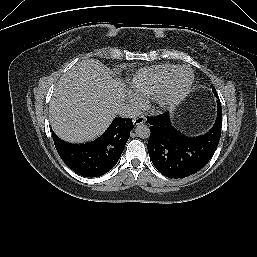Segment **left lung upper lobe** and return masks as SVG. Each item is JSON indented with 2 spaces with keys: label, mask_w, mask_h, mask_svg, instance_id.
Masks as SVG:
<instances>
[{
  "label": "left lung upper lobe",
  "mask_w": 257,
  "mask_h": 257,
  "mask_svg": "<svg viewBox=\"0 0 257 257\" xmlns=\"http://www.w3.org/2000/svg\"><path fill=\"white\" fill-rule=\"evenodd\" d=\"M213 93H214V95L218 98V95H217V92H216L215 89H213Z\"/></svg>",
  "instance_id": "1"
}]
</instances>
